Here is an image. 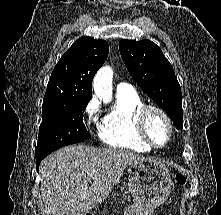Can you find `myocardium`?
<instances>
[{"mask_svg": "<svg viewBox=\"0 0 221 215\" xmlns=\"http://www.w3.org/2000/svg\"><path fill=\"white\" fill-rule=\"evenodd\" d=\"M152 113L159 114L165 120V122L168 126L169 136H168V139L164 145L155 144L148 133L147 123H148L149 116ZM136 128H137V132H138L140 138L153 149H162V148H165L166 146H168L170 144V142L173 138V134H174V125H173V121L171 120L170 116L167 114V112L165 110H163L162 108L155 106V105L145 104L137 111Z\"/></svg>", "mask_w": 221, "mask_h": 215, "instance_id": "myocardium-1", "label": "myocardium"}]
</instances>
